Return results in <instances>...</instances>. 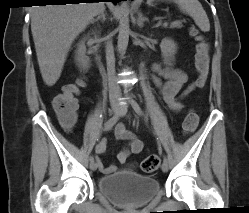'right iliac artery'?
I'll use <instances>...</instances> for the list:
<instances>
[{
  "label": "right iliac artery",
  "instance_id": "82829eb1",
  "mask_svg": "<svg viewBox=\"0 0 249 213\" xmlns=\"http://www.w3.org/2000/svg\"><path fill=\"white\" fill-rule=\"evenodd\" d=\"M127 112V106L126 104L123 105V109H121L116 115H114L113 117H111L106 123H105V130H110L117 122L118 120L125 115ZM91 162L94 161V157L90 156L89 159Z\"/></svg>",
  "mask_w": 249,
  "mask_h": 213
}]
</instances>
